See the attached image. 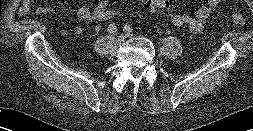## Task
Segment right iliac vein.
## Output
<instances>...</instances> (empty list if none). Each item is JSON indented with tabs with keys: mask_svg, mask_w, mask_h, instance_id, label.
Segmentation results:
<instances>
[{
	"mask_svg": "<svg viewBox=\"0 0 253 131\" xmlns=\"http://www.w3.org/2000/svg\"><path fill=\"white\" fill-rule=\"evenodd\" d=\"M125 39V36L124 35H119L118 36V42H123Z\"/></svg>",
	"mask_w": 253,
	"mask_h": 131,
	"instance_id": "1",
	"label": "right iliac vein"
}]
</instances>
